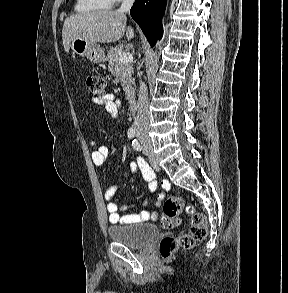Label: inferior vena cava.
<instances>
[{"instance_id": "602c4592", "label": "inferior vena cava", "mask_w": 288, "mask_h": 293, "mask_svg": "<svg viewBox=\"0 0 288 293\" xmlns=\"http://www.w3.org/2000/svg\"><path fill=\"white\" fill-rule=\"evenodd\" d=\"M134 0H122L118 12H128ZM149 112H148V89L146 84L141 80L138 94V109L135 118V127L137 135L149 141L148 138Z\"/></svg>"}]
</instances>
